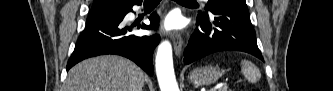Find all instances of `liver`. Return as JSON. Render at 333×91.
I'll list each match as a JSON object with an SVG mask.
<instances>
[{
	"label": "liver",
	"mask_w": 333,
	"mask_h": 91,
	"mask_svg": "<svg viewBox=\"0 0 333 91\" xmlns=\"http://www.w3.org/2000/svg\"><path fill=\"white\" fill-rule=\"evenodd\" d=\"M144 72L132 61L107 55L70 69L63 91H142Z\"/></svg>",
	"instance_id": "1"
}]
</instances>
